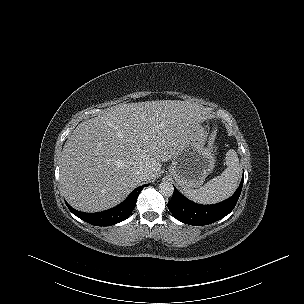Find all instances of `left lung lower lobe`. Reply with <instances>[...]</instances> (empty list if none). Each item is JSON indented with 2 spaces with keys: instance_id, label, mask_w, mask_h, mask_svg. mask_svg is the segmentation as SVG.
Wrapping results in <instances>:
<instances>
[{
  "instance_id": "obj_1",
  "label": "left lung lower lobe",
  "mask_w": 304,
  "mask_h": 304,
  "mask_svg": "<svg viewBox=\"0 0 304 304\" xmlns=\"http://www.w3.org/2000/svg\"><path fill=\"white\" fill-rule=\"evenodd\" d=\"M244 181V174L236 192L227 200L214 205H199L184 197L174 187L172 199L168 208L173 216L186 224L201 226L214 223L228 215L235 207Z\"/></svg>"
}]
</instances>
